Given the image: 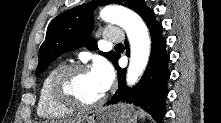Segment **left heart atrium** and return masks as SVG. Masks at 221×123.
I'll return each mask as SVG.
<instances>
[{"mask_svg": "<svg viewBox=\"0 0 221 123\" xmlns=\"http://www.w3.org/2000/svg\"><path fill=\"white\" fill-rule=\"evenodd\" d=\"M90 72L99 83L103 92H106L113 80V70L109 63L103 59H97Z\"/></svg>", "mask_w": 221, "mask_h": 123, "instance_id": "left-heart-atrium-1", "label": "left heart atrium"}]
</instances>
